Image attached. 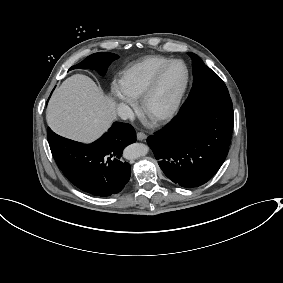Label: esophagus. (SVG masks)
<instances>
[{"instance_id":"34e87169","label":"esophagus","mask_w":283,"mask_h":283,"mask_svg":"<svg viewBox=\"0 0 283 283\" xmlns=\"http://www.w3.org/2000/svg\"><path fill=\"white\" fill-rule=\"evenodd\" d=\"M146 134L145 133H143V132H138L137 133V139L139 140V141H143L144 139H146Z\"/></svg>"}]
</instances>
